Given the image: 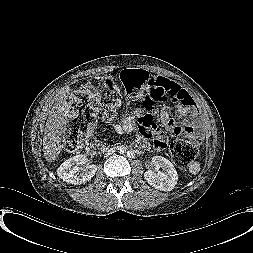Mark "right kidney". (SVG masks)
Instances as JSON below:
<instances>
[{
    "label": "right kidney",
    "mask_w": 253,
    "mask_h": 253,
    "mask_svg": "<svg viewBox=\"0 0 253 253\" xmlns=\"http://www.w3.org/2000/svg\"><path fill=\"white\" fill-rule=\"evenodd\" d=\"M86 162L87 158L83 154L73 156L60 165L57 169V175L67 183L84 184L91 180L97 171L96 165H89Z\"/></svg>",
    "instance_id": "1"
}]
</instances>
